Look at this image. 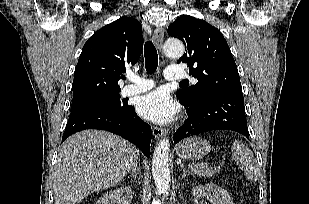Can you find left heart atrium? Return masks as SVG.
<instances>
[{
  "instance_id": "obj_1",
  "label": "left heart atrium",
  "mask_w": 309,
  "mask_h": 204,
  "mask_svg": "<svg viewBox=\"0 0 309 204\" xmlns=\"http://www.w3.org/2000/svg\"><path fill=\"white\" fill-rule=\"evenodd\" d=\"M137 111L145 119L166 124L175 118L178 108L166 91L156 90L139 98Z\"/></svg>"
}]
</instances>
